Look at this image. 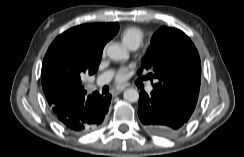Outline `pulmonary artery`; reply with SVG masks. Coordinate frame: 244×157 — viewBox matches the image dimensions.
Listing matches in <instances>:
<instances>
[{
  "label": "pulmonary artery",
  "mask_w": 244,
  "mask_h": 157,
  "mask_svg": "<svg viewBox=\"0 0 244 157\" xmlns=\"http://www.w3.org/2000/svg\"><path fill=\"white\" fill-rule=\"evenodd\" d=\"M129 49L131 50H135L137 49V46H131ZM112 77V73L111 72H105L103 74H101L97 80V85L102 86L104 84H106ZM153 89V87L151 85L147 86V91L151 92Z\"/></svg>",
  "instance_id": "pulmonary-artery-1"
}]
</instances>
